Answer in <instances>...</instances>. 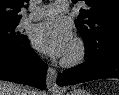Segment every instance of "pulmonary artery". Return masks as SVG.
I'll return each instance as SVG.
<instances>
[{"mask_svg": "<svg viewBox=\"0 0 119 95\" xmlns=\"http://www.w3.org/2000/svg\"><path fill=\"white\" fill-rule=\"evenodd\" d=\"M68 8L69 5L66 0H58L53 4L34 8L28 19L32 21H37L50 18L57 13L66 12Z\"/></svg>", "mask_w": 119, "mask_h": 95, "instance_id": "1", "label": "pulmonary artery"}]
</instances>
